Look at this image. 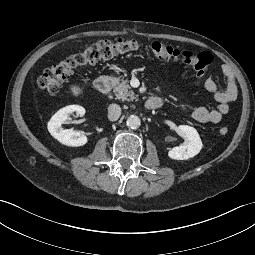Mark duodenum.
<instances>
[{"label":"duodenum","mask_w":255,"mask_h":255,"mask_svg":"<svg viewBox=\"0 0 255 255\" xmlns=\"http://www.w3.org/2000/svg\"><path fill=\"white\" fill-rule=\"evenodd\" d=\"M113 78L110 75L102 74L95 80V88L101 94H108L111 90ZM160 106V101L156 97L149 98L145 102V108L155 110Z\"/></svg>","instance_id":"obj_1"}]
</instances>
